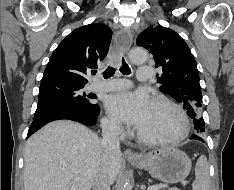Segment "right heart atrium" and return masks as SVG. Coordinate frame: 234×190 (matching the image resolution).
Masks as SVG:
<instances>
[{"instance_id":"1","label":"right heart atrium","mask_w":234,"mask_h":190,"mask_svg":"<svg viewBox=\"0 0 234 190\" xmlns=\"http://www.w3.org/2000/svg\"><path fill=\"white\" fill-rule=\"evenodd\" d=\"M103 127L106 131L111 133H117V134L123 133L122 125L118 121L112 118H104Z\"/></svg>"}]
</instances>
